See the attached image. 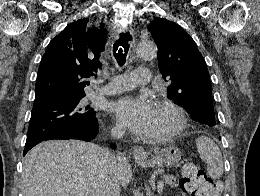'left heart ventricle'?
<instances>
[{
	"instance_id": "obj_1",
	"label": "left heart ventricle",
	"mask_w": 260,
	"mask_h": 196,
	"mask_svg": "<svg viewBox=\"0 0 260 196\" xmlns=\"http://www.w3.org/2000/svg\"><path fill=\"white\" fill-rule=\"evenodd\" d=\"M174 123L172 114L165 108L153 104V117L149 132L154 133L163 130Z\"/></svg>"
}]
</instances>
